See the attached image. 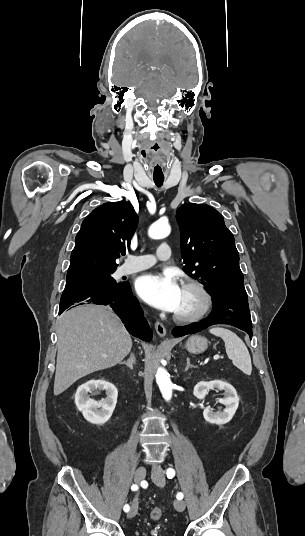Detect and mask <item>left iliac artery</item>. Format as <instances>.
I'll use <instances>...</instances> for the list:
<instances>
[{"instance_id": "44dca946", "label": "left iliac artery", "mask_w": 305, "mask_h": 536, "mask_svg": "<svg viewBox=\"0 0 305 536\" xmlns=\"http://www.w3.org/2000/svg\"><path fill=\"white\" fill-rule=\"evenodd\" d=\"M166 475H167V478H169V479L173 478L175 476L174 469H172V468L167 469ZM176 497H177V499L181 500V499H183V494L181 492H179Z\"/></svg>"}]
</instances>
